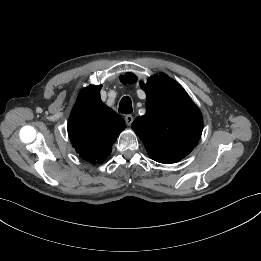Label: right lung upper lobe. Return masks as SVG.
Masks as SVG:
<instances>
[{"instance_id":"1","label":"right lung upper lobe","mask_w":261,"mask_h":261,"mask_svg":"<svg viewBox=\"0 0 261 261\" xmlns=\"http://www.w3.org/2000/svg\"><path fill=\"white\" fill-rule=\"evenodd\" d=\"M100 86L80 93L68 122V135L79 156L91 163H102L112 144L125 128L124 120L102 104Z\"/></svg>"}]
</instances>
